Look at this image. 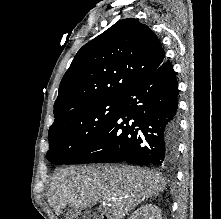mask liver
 Segmentation results:
<instances>
[{
    "instance_id": "6515ba94",
    "label": "liver",
    "mask_w": 221,
    "mask_h": 219,
    "mask_svg": "<svg viewBox=\"0 0 221 219\" xmlns=\"http://www.w3.org/2000/svg\"><path fill=\"white\" fill-rule=\"evenodd\" d=\"M165 186L164 178L158 173L139 167L71 166L54 173L48 197L57 215L67 205L91 208L102 200L110 219H124L138 204L157 196Z\"/></svg>"
}]
</instances>
